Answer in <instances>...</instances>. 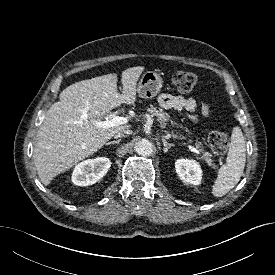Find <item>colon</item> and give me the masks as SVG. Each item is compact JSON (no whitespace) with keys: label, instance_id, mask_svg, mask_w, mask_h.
<instances>
[{"label":"colon","instance_id":"colon-1","mask_svg":"<svg viewBox=\"0 0 275 275\" xmlns=\"http://www.w3.org/2000/svg\"><path fill=\"white\" fill-rule=\"evenodd\" d=\"M172 81L179 91L190 92L197 84V76L191 72L178 71L173 74ZM208 143L214 152L222 154L228 148V137L220 131H213L208 136Z\"/></svg>","mask_w":275,"mask_h":275}]
</instances>
